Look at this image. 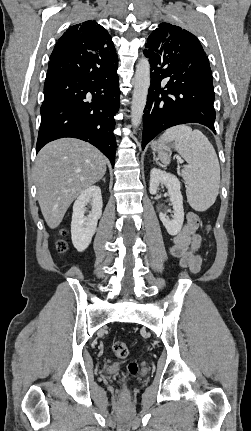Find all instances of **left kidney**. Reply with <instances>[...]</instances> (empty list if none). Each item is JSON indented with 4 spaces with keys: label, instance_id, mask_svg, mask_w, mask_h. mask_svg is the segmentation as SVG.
I'll list each match as a JSON object with an SVG mask.
<instances>
[{
    "label": "left kidney",
    "instance_id": "left-kidney-1",
    "mask_svg": "<svg viewBox=\"0 0 251 431\" xmlns=\"http://www.w3.org/2000/svg\"><path fill=\"white\" fill-rule=\"evenodd\" d=\"M160 184L165 185L168 189L170 201L173 205L174 216L173 219L170 220L161 212L159 214V218L167 232L170 235L175 236L181 231L184 221L183 196L180 191V182L178 178L171 173H167L157 168L151 169L149 191L152 195L157 193Z\"/></svg>",
    "mask_w": 251,
    "mask_h": 431
}]
</instances>
